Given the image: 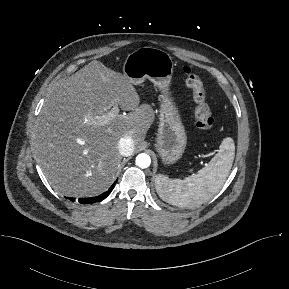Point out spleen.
<instances>
[{
	"label": "spleen",
	"mask_w": 289,
	"mask_h": 289,
	"mask_svg": "<svg viewBox=\"0 0 289 289\" xmlns=\"http://www.w3.org/2000/svg\"><path fill=\"white\" fill-rule=\"evenodd\" d=\"M235 144L231 137L222 140L218 153L208 165L184 180L158 174L155 188L165 202L179 207H195L209 201L219 192L231 170Z\"/></svg>",
	"instance_id": "1"
}]
</instances>
